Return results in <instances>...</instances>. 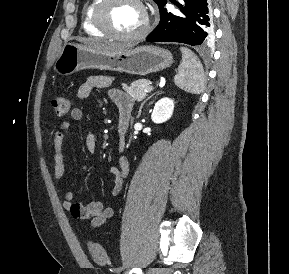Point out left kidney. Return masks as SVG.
<instances>
[{"label": "left kidney", "mask_w": 289, "mask_h": 274, "mask_svg": "<svg viewBox=\"0 0 289 274\" xmlns=\"http://www.w3.org/2000/svg\"><path fill=\"white\" fill-rule=\"evenodd\" d=\"M174 101L170 98L160 99L154 106L151 119L154 123L160 124L169 120L173 114Z\"/></svg>", "instance_id": "5707ae66"}]
</instances>
